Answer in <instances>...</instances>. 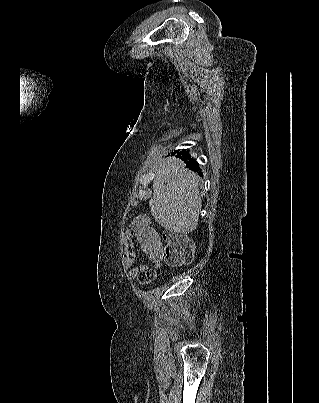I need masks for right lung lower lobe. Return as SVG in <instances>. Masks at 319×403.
Here are the masks:
<instances>
[{
  "label": "right lung lower lobe",
  "instance_id": "obj_1",
  "mask_svg": "<svg viewBox=\"0 0 319 403\" xmlns=\"http://www.w3.org/2000/svg\"><path fill=\"white\" fill-rule=\"evenodd\" d=\"M174 152L177 154L176 157H181V155H182V156H184L185 160L189 159V161L186 162L187 167H189L191 170H194L196 172L199 171L198 163L194 159L191 158V156L188 152H186L184 149L182 152H179L178 150H176ZM199 175L202 176V173H199Z\"/></svg>",
  "mask_w": 319,
  "mask_h": 403
}]
</instances>
